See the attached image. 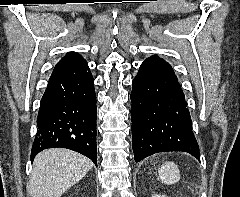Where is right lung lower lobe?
<instances>
[{"label": "right lung lower lobe", "instance_id": "1", "mask_svg": "<svg viewBox=\"0 0 240 197\" xmlns=\"http://www.w3.org/2000/svg\"><path fill=\"white\" fill-rule=\"evenodd\" d=\"M96 95L88 65L53 71L40 102L31 159L47 148L79 152L97 166Z\"/></svg>", "mask_w": 240, "mask_h": 197}]
</instances>
